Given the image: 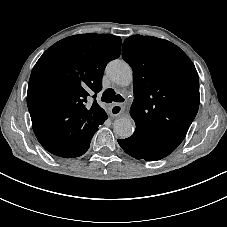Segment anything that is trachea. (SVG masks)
<instances>
[{
  "label": "trachea",
  "mask_w": 227,
  "mask_h": 227,
  "mask_svg": "<svg viewBox=\"0 0 227 227\" xmlns=\"http://www.w3.org/2000/svg\"><path fill=\"white\" fill-rule=\"evenodd\" d=\"M101 100L106 102L107 104L111 102H123L124 98L120 94H116L114 89L108 88L106 89L103 94Z\"/></svg>",
  "instance_id": "trachea-1"
}]
</instances>
